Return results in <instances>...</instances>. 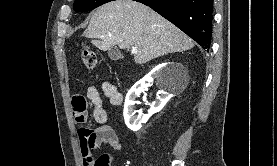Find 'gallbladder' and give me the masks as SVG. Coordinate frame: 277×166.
I'll return each mask as SVG.
<instances>
[{"label":"gallbladder","mask_w":277,"mask_h":166,"mask_svg":"<svg viewBox=\"0 0 277 166\" xmlns=\"http://www.w3.org/2000/svg\"><path fill=\"white\" fill-rule=\"evenodd\" d=\"M108 56L110 57V59L112 60H118L122 57L120 51L115 48V47H112L109 51H108Z\"/></svg>","instance_id":"gallbladder-1"}]
</instances>
